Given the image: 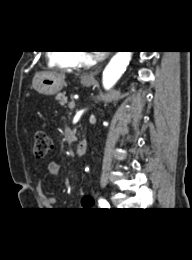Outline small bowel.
<instances>
[{"mask_svg":"<svg viewBox=\"0 0 192 260\" xmlns=\"http://www.w3.org/2000/svg\"><path fill=\"white\" fill-rule=\"evenodd\" d=\"M60 168L57 162L50 161L47 165V173L52 177H57L59 174ZM37 189L40 193V201L44 208L46 209H55L59 206V201L54 197H48L42 194V183H38ZM82 207H91L93 205V200L90 196H84L81 200Z\"/></svg>","mask_w":192,"mask_h":260,"instance_id":"1","label":"small bowel"}]
</instances>
